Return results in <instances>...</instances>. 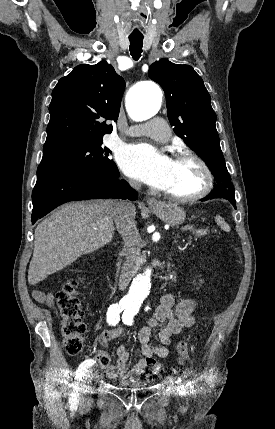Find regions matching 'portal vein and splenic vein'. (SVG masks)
Instances as JSON below:
<instances>
[{"label": "portal vein and splenic vein", "instance_id": "obj_1", "mask_svg": "<svg viewBox=\"0 0 275 429\" xmlns=\"http://www.w3.org/2000/svg\"><path fill=\"white\" fill-rule=\"evenodd\" d=\"M185 229H186V230H189V229H190V227H186Z\"/></svg>", "mask_w": 275, "mask_h": 429}]
</instances>
